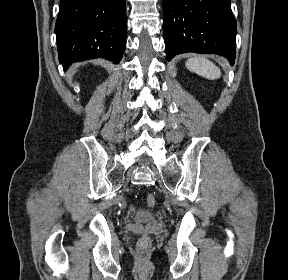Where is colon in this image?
<instances>
[{"mask_svg":"<svg viewBox=\"0 0 288 280\" xmlns=\"http://www.w3.org/2000/svg\"><path fill=\"white\" fill-rule=\"evenodd\" d=\"M145 201L149 207H153L156 203V199L153 194H148L145 198ZM147 244H148V239L146 237L142 238L141 243H140L141 247L145 248Z\"/></svg>","mask_w":288,"mask_h":280,"instance_id":"5ec220e1","label":"colon"}]
</instances>
